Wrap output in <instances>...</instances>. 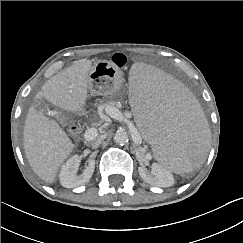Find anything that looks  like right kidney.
I'll use <instances>...</instances> for the list:
<instances>
[{
    "mask_svg": "<svg viewBox=\"0 0 243 243\" xmlns=\"http://www.w3.org/2000/svg\"><path fill=\"white\" fill-rule=\"evenodd\" d=\"M80 158L78 155L72 156L62 166L59 177L63 187L74 188L87 183L93 175L95 168V160L88 159L87 166L82 174L77 175L79 169Z\"/></svg>",
    "mask_w": 243,
    "mask_h": 243,
    "instance_id": "1",
    "label": "right kidney"
}]
</instances>
